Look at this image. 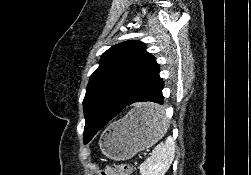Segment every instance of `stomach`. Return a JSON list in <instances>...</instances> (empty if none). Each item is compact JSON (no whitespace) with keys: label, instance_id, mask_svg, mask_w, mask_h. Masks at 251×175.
<instances>
[{"label":"stomach","instance_id":"obj_1","mask_svg":"<svg viewBox=\"0 0 251 175\" xmlns=\"http://www.w3.org/2000/svg\"><path fill=\"white\" fill-rule=\"evenodd\" d=\"M152 100H142V105L133 107L125 117L113 121L101 133L99 145L102 153L115 161L131 159L137 151L150 147L164 134H171L163 114L152 111H166V106H150Z\"/></svg>","mask_w":251,"mask_h":175}]
</instances>
